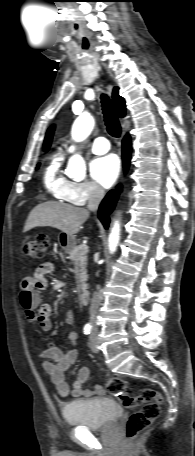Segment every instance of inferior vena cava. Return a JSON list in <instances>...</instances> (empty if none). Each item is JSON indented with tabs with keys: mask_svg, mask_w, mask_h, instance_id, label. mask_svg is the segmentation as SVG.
<instances>
[{
	"mask_svg": "<svg viewBox=\"0 0 195 456\" xmlns=\"http://www.w3.org/2000/svg\"><path fill=\"white\" fill-rule=\"evenodd\" d=\"M104 194L105 192L100 186L95 184L92 185L89 193L87 209L90 211H96L98 209L99 203L104 197ZM100 304L101 297L98 292H94L89 309L90 323L92 324L93 328H96V317Z\"/></svg>",
	"mask_w": 195,
	"mask_h": 456,
	"instance_id": "602c4592",
	"label": "inferior vena cava"
}]
</instances>
